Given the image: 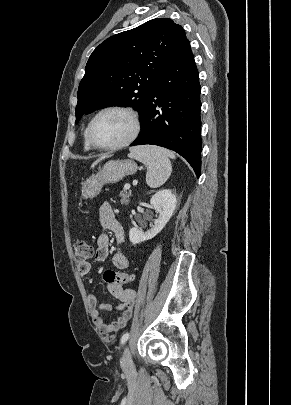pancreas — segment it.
<instances>
[{"mask_svg":"<svg viewBox=\"0 0 291 405\" xmlns=\"http://www.w3.org/2000/svg\"><path fill=\"white\" fill-rule=\"evenodd\" d=\"M119 196L121 197V204L128 205L130 193H128L126 190H123L120 192Z\"/></svg>","mask_w":291,"mask_h":405,"instance_id":"cf45deb5","label":"pancreas"}]
</instances>
